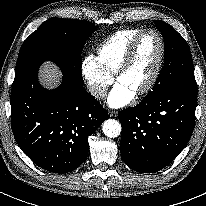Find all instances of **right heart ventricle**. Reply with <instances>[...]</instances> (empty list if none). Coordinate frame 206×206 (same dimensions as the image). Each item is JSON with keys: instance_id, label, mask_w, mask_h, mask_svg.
Listing matches in <instances>:
<instances>
[{"instance_id": "right-heart-ventricle-1", "label": "right heart ventricle", "mask_w": 206, "mask_h": 206, "mask_svg": "<svg viewBox=\"0 0 206 206\" xmlns=\"http://www.w3.org/2000/svg\"><path fill=\"white\" fill-rule=\"evenodd\" d=\"M142 30V28L118 30L99 46L96 58L107 73L115 75L129 45Z\"/></svg>"}]
</instances>
